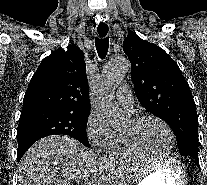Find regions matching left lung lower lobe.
<instances>
[{
	"label": "left lung lower lobe",
	"mask_w": 207,
	"mask_h": 185,
	"mask_svg": "<svg viewBox=\"0 0 207 185\" xmlns=\"http://www.w3.org/2000/svg\"><path fill=\"white\" fill-rule=\"evenodd\" d=\"M189 158L197 165L199 166V160L198 155H190Z\"/></svg>",
	"instance_id": "obj_1"
}]
</instances>
